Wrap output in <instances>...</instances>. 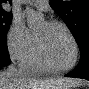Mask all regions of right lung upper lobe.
Segmentation results:
<instances>
[{"instance_id": "right-lung-upper-lobe-1", "label": "right lung upper lobe", "mask_w": 89, "mask_h": 89, "mask_svg": "<svg viewBox=\"0 0 89 89\" xmlns=\"http://www.w3.org/2000/svg\"><path fill=\"white\" fill-rule=\"evenodd\" d=\"M2 1L6 2V0H0V4H1V2H2ZM9 2L11 3V1H10V0H9Z\"/></svg>"}]
</instances>
